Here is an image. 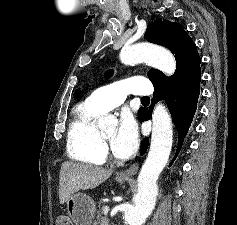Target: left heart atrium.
Segmentation results:
<instances>
[{"label": "left heart atrium", "mask_w": 237, "mask_h": 225, "mask_svg": "<svg viewBox=\"0 0 237 225\" xmlns=\"http://www.w3.org/2000/svg\"><path fill=\"white\" fill-rule=\"evenodd\" d=\"M138 143L139 133L136 120L131 113L124 112L112 142L113 152L120 158H128L134 154Z\"/></svg>", "instance_id": "1"}]
</instances>
